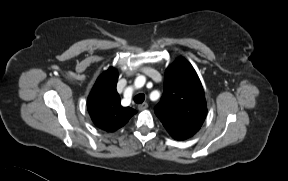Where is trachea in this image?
I'll return each mask as SVG.
<instances>
[{"instance_id": "1", "label": "trachea", "mask_w": 288, "mask_h": 181, "mask_svg": "<svg viewBox=\"0 0 288 181\" xmlns=\"http://www.w3.org/2000/svg\"><path fill=\"white\" fill-rule=\"evenodd\" d=\"M145 100V95L144 94H138L134 97V102L137 104L142 103Z\"/></svg>"}]
</instances>
